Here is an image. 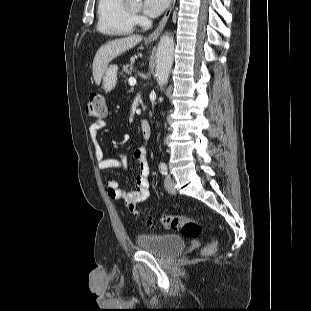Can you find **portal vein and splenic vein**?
I'll use <instances>...</instances> for the list:
<instances>
[{
	"mask_svg": "<svg viewBox=\"0 0 311 311\" xmlns=\"http://www.w3.org/2000/svg\"><path fill=\"white\" fill-rule=\"evenodd\" d=\"M128 83L130 86H134L136 84V79L134 77H130Z\"/></svg>",
	"mask_w": 311,
	"mask_h": 311,
	"instance_id": "1",
	"label": "portal vein and splenic vein"
}]
</instances>
